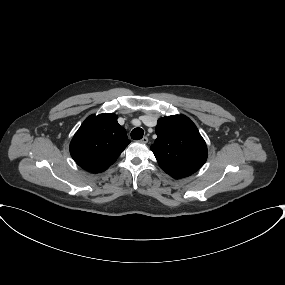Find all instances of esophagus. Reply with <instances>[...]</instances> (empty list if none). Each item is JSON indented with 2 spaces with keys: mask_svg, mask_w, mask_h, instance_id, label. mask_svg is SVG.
I'll return each instance as SVG.
<instances>
[{
  "mask_svg": "<svg viewBox=\"0 0 285 285\" xmlns=\"http://www.w3.org/2000/svg\"><path fill=\"white\" fill-rule=\"evenodd\" d=\"M140 142H142V143H147V142H148V138H147L146 136H144V137L140 140Z\"/></svg>",
  "mask_w": 285,
  "mask_h": 285,
  "instance_id": "1",
  "label": "esophagus"
}]
</instances>
